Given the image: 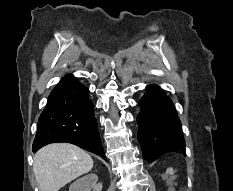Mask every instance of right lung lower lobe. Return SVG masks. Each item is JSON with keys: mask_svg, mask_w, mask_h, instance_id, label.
I'll return each mask as SVG.
<instances>
[{"mask_svg": "<svg viewBox=\"0 0 233 191\" xmlns=\"http://www.w3.org/2000/svg\"><path fill=\"white\" fill-rule=\"evenodd\" d=\"M88 88L74 77L62 78L38 120L32 151L54 142L75 144L106 160Z\"/></svg>", "mask_w": 233, "mask_h": 191, "instance_id": "98d812e1", "label": "right lung lower lobe"}]
</instances>
